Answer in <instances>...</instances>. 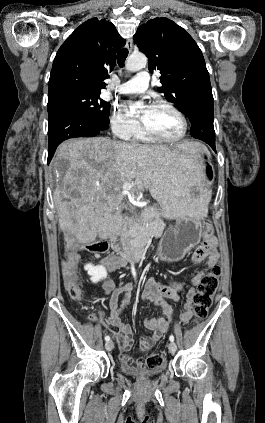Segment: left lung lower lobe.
Segmentation results:
<instances>
[{"label": "left lung lower lobe", "instance_id": "0a47b994", "mask_svg": "<svg viewBox=\"0 0 265 423\" xmlns=\"http://www.w3.org/2000/svg\"><path fill=\"white\" fill-rule=\"evenodd\" d=\"M186 115L191 121V136L204 141L216 151L212 90H204L197 94L192 99Z\"/></svg>", "mask_w": 265, "mask_h": 423}]
</instances>
